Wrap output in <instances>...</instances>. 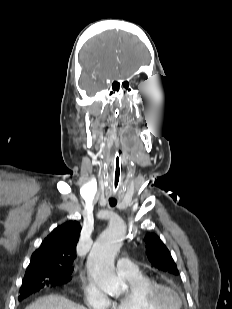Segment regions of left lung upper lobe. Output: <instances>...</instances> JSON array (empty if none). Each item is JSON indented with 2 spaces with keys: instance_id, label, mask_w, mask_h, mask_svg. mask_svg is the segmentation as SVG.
Segmentation results:
<instances>
[{
  "instance_id": "5c2ea615",
  "label": "left lung upper lobe",
  "mask_w": 232,
  "mask_h": 309,
  "mask_svg": "<svg viewBox=\"0 0 232 309\" xmlns=\"http://www.w3.org/2000/svg\"><path fill=\"white\" fill-rule=\"evenodd\" d=\"M147 256L152 265L162 271L179 275L177 266L160 238L156 234H148L145 237Z\"/></svg>"
}]
</instances>
